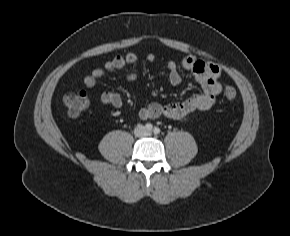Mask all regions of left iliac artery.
<instances>
[{
  "instance_id": "44dca946",
  "label": "left iliac artery",
  "mask_w": 290,
  "mask_h": 236,
  "mask_svg": "<svg viewBox=\"0 0 290 236\" xmlns=\"http://www.w3.org/2000/svg\"><path fill=\"white\" fill-rule=\"evenodd\" d=\"M154 134L157 135L160 133V129L158 127H155L153 130Z\"/></svg>"
}]
</instances>
